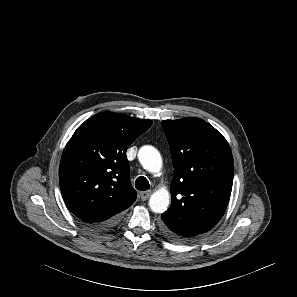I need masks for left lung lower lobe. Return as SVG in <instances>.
Listing matches in <instances>:
<instances>
[{
	"label": "left lung lower lobe",
	"mask_w": 297,
	"mask_h": 297,
	"mask_svg": "<svg viewBox=\"0 0 297 297\" xmlns=\"http://www.w3.org/2000/svg\"><path fill=\"white\" fill-rule=\"evenodd\" d=\"M161 228H162V231L164 232V234L171 240L178 241V242L184 241L176 233L173 232L174 229L172 228L171 225H169V223L163 222L161 225Z\"/></svg>",
	"instance_id": "left-lung-lower-lobe-1"
}]
</instances>
